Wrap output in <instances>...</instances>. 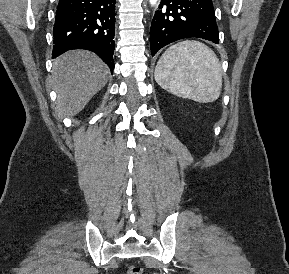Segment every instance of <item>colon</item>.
I'll return each instance as SVG.
<instances>
[{
  "instance_id": "colon-1",
  "label": "colon",
  "mask_w": 289,
  "mask_h": 274,
  "mask_svg": "<svg viewBox=\"0 0 289 274\" xmlns=\"http://www.w3.org/2000/svg\"><path fill=\"white\" fill-rule=\"evenodd\" d=\"M127 274H143V269L139 266H130L127 270Z\"/></svg>"
}]
</instances>
